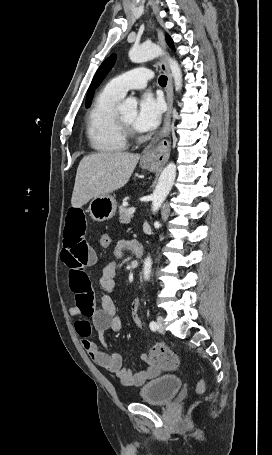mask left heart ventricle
Listing matches in <instances>:
<instances>
[{
    "label": "left heart ventricle",
    "instance_id": "1",
    "mask_svg": "<svg viewBox=\"0 0 272 455\" xmlns=\"http://www.w3.org/2000/svg\"><path fill=\"white\" fill-rule=\"evenodd\" d=\"M120 115L127 124H129L133 127L134 120L136 117V111H134V110L125 111V112H121Z\"/></svg>",
    "mask_w": 272,
    "mask_h": 455
}]
</instances>
